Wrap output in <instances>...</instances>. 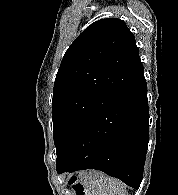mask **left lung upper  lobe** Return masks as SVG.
<instances>
[{"mask_svg": "<svg viewBox=\"0 0 178 195\" xmlns=\"http://www.w3.org/2000/svg\"><path fill=\"white\" fill-rule=\"evenodd\" d=\"M142 67L135 37L120 19L96 21L74 40L53 89L57 159L95 112Z\"/></svg>", "mask_w": 178, "mask_h": 195, "instance_id": "5c2ea615", "label": "left lung upper lobe"}]
</instances>
